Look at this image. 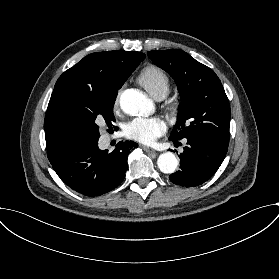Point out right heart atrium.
Segmentation results:
<instances>
[{"label":"right heart atrium","mask_w":279,"mask_h":279,"mask_svg":"<svg viewBox=\"0 0 279 279\" xmlns=\"http://www.w3.org/2000/svg\"><path fill=\"white\" fill-rule=\"evenodd\" d=\"M119 95H120V90L117 92L116 96H115V99H114V106H117L118 105V99H119Z\"/></svg>","instance_id":"d8ad5b80"}]
</instances>
